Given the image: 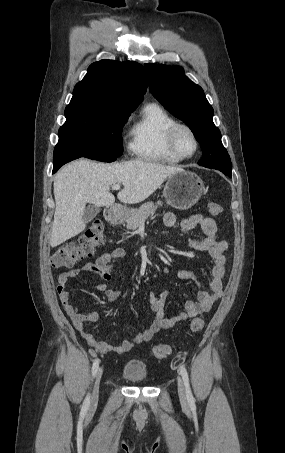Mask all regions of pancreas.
Segmentation results:
<instances>
[{"instance_id":"cf45deb5","label":"pancreas","mask_w":285,"mask_h":453,"mask_svg":"<svg viewBox=\"0 0 285 453\" xmlns=\"http://www.w3.org/2000/svg\"><path fill=\"white\" fill-rule=\"evenodd\" d=\"M162 205L163 203L161 201H157L156 203L147 202L142 204L138 209H131L126 214L127 229L136 230L142 222L155 213L158 206ZM127 238H129V236Z\"/></svg>"}]
</instances>
